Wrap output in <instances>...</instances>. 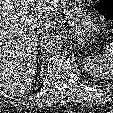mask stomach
Instances as JSON below:
<instances>
[{
    "instance_id": "obj_1",
    "label": "stomach",
    "mask_w": 113,
    "mask_h": 113,
    "mask_svg": "<svg viewBox=\"0 0 113 113\" xmlns=\"http://www.w3.org/2000/svg\"><path fill=\"white\" fill-rule=\"evenodd\" d=\"M85 0H61L62 11L68 19L69 33L80 45L92 43L99 32L96 19L87 13Z\"/></svg>"
}]
</instances>
